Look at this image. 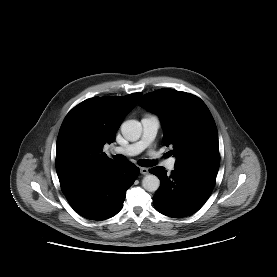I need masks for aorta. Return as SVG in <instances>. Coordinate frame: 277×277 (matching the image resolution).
<instances>
[{
    "label": "aorta",
    "mask_w": 277,
    "mask_h": 277,
    "mask_svg": "<svg viewBox=\"0 0 277 277\" xmlns=\"http://www.w3.org/2000/svg\"><path fill=\"white\" fill-rule=\"evenodd\" d=\"M123 137L131 142L137 141L142 133V125L137 120H127L121 125ZM143 188L148 192H155L160 187V180L153 174L146 175L142 180Z\"/></svg>",
    "instance_id": "762f6f07"
}]
</instances>
